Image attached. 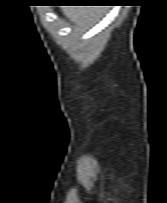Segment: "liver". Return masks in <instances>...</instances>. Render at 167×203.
Listing matches in <instances>:
<instances>
[{
  "label": "liver",
  "instance_id": "1",
  "mask_svg": "<svg viewBox=\"0 0 167 203\" xmlns=\"http://www.w3.org/2000/svg\"><path fill=\"white\" fill-rule=\"evenodd\" d=\"M100 12V9L92 6H68L63 9L64 15L80 26L92 21Z\"/></svg>",
  "mask_w": 167,
  "mask_h": 203
}]
</instances>
